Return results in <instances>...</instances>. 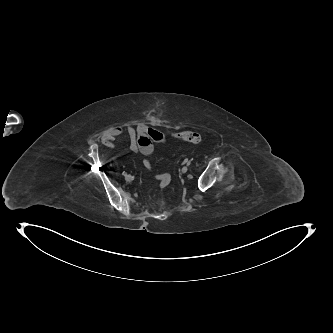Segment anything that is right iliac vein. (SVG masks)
<instances>
[{"instance_id":"right-iliac-vein-1","label":"right iliac vein","mask_w":333,"mask_h":333,"mask_svg":"<svg viewBox=\"0 0 333 333\" xmlns=\"http://www.w3.org/2000/svg\"><path fill=\"white\" fill-rule=\"evenodd\" d=\"M132 176L131 175H128L127 177H126V181H128V182H130V181H132Z\"/></svg>"}]
</instances>
